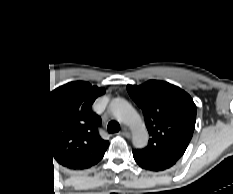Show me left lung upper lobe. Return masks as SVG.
<instances>
[{
  "label": "left lung upper lobe",
  "instance_id": "1",
  "mask_svg": "<svg viewBox=\"0 0 233 194\" xmlns=\"http://www.w3.org/2000/svg\"><path fill=\"white\" fill-rule=\"evenodd\" d=\"M127 91L142 109L150 139L140 153L155 159L177 161L193 135L196 105L185 91L168 82L150 80Z\"/></svg>",
  "mask_w": 233,
  "mask_h": 194
}]
</instances>
